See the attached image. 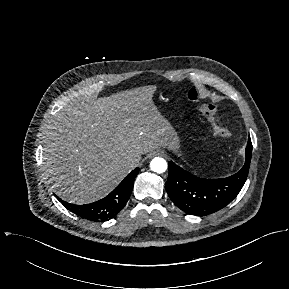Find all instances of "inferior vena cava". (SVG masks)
Masks as SVG:
<instances>
[{
    "label": "inferior vena cava",
    "mask_w": 289,
    "mask_h": 289,
    "mask_svg": "<svg viewBox=\"0 0 289 289\" xmlns=\"http://www.w3.org/2000/svg\"><path fill=\"white\" fill-rule=\"evenodd\" d=\"M136 161L137 160L134 158H127V163L130 164L131 166H134Z\"/></svg>",
    "instance_id": "602c4592"
}]
</instances>
